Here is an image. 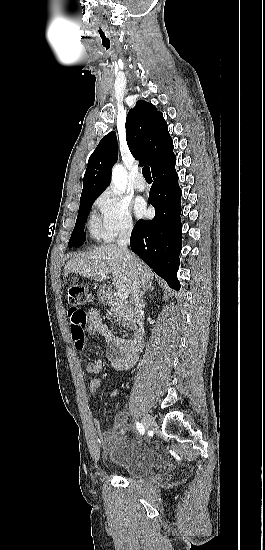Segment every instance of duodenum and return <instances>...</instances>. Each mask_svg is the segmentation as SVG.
<instances>
[{"instance_id": "duodenum-1", "label": "duodenum", "mask_w": 265, "mask_h": 550, "mask_svg": "<svg viewBox=\"0 0 265 550\" xmlns=\"http://www.w3.org/2000/svg\"><path fill=\"white\" fill-rule=\"evenodd\" d=\"M101 296H102V299L105 302H109V301L112 300L111 295L107 291H103L101 293ZM128 342H129L132 349H134L136 351L141 349V347L143 346V333H142V331H140V330L136 331L134 336L131 339H128Z\"/></svg>"}]
</instances>
